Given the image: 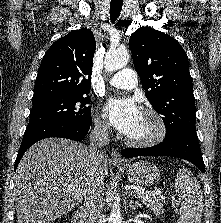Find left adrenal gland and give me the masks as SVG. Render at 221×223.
<instances>
[{
    "instance_id": "a2214340",
    "label": "left adrenal gland",
    "mask_w": 221,
    "mask_h": 223,
    "mask_svg": "<svg viewBox=\"0 0 221 223\" xmlns=\"http://www.w3.org/2000/svg\"><path fill=\"white\" fill-rule=\"evenodd\" d=\"M129 206H130V208H131L132 211L135 210V209L138 208V207L141 208V204H139L138 201L134 202V201L132 200V198L129 199Z\"/></svg>"
}]
</instances>
